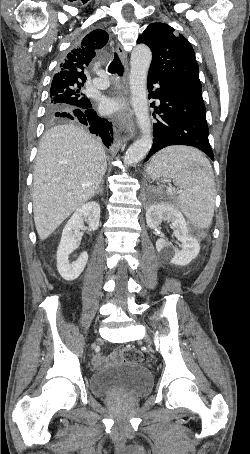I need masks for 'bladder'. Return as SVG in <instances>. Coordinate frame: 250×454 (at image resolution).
I'll use <instances>...</instances> for the list:
<instances>
[{"label": "bladder", "instance_id": "1", "mask_svg": "<svg viewBox=\"0 0 250 454\" xmlns=\"http://www.w3.org/2000/svg\"><path fill=\"white\" fill-rule=\"evenodd\" d=\"M153 387L151 372L143 365L123 362L92 373L91 393L101 399L126 397L138 399L150 394Z\"/></svg>", "mask_w": 250, "mask_h": 454}]
</instances>
